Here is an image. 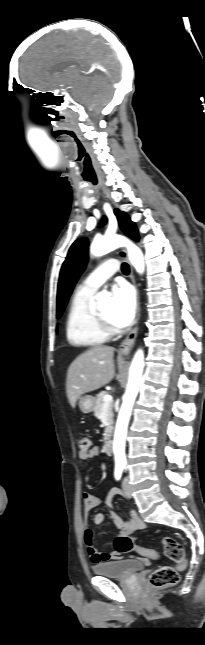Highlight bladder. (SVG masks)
<instances>
[{
	"instance_id": "obj_1",
	"label": "bladder",
	"mask_w": 205,
	"mask_h": 645,
	"mask_svg": "<svg viewBox=\"0 0 205 645\" xmlns=\"http://www.w3.org/2000/svg\"><path fill=\"white\" fill-rule=\"evenodd\" d=\"M95 574L125 579L144 569V563L138 559H122L96 563L92 567Z\"/></svg>"
}]
</instances>
